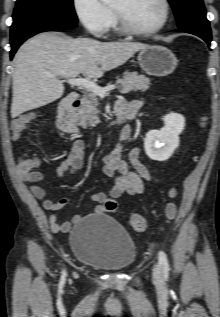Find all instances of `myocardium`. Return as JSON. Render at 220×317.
Listing matches in <instances>:
<instances>
[{"label":"myocardium","instance_id":"myocardium-1","mask_svg":"<svg viewBox=\"0 0 220 317\" xmlns=\"http://www.w3.org/2000/svg\"><path fill=\"white\" fill-rule=\"evenodd\" d=\"M160 1L163 5V9H164L163 18L157 26H155L151 29H146V30H139V29L132 27L120 11L112 8L118 29L122 33H124L128 36H132V37L150 36V35H153V34L160 32L167 25V23L170 19V15H171V5H170L169 0H160Z\"/></svg>","mask_w":220,"mask_h":317}]
</instances>
